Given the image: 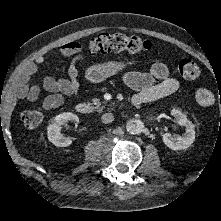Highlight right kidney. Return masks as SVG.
Segmentation results:
<instances>
[{"label":"right kidney","mask_w":221,"mask_h":221,"mask_svg":"<svg viewBox=\"0 0 221 221\" xmlns=\"http://www.w3.org/2000/svg\"><path fill=\"white\" fill-rule=\"evenodd\" d=\"M68 121H79L77 115L67 112L57 115L52 123L47 128L48 140L51 141L55 146L67 147L71 145L72 140L61 134V126L66 124Z\"/></svg>","instance_id":"obj_1"}]
</instances>
